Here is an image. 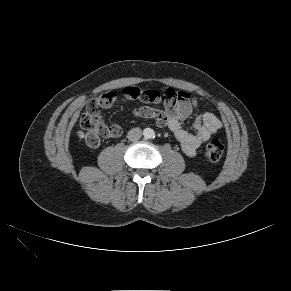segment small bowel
Returning <instances> with one entry per match:
<instances>
[{
  "label": "small bowel",
  "mask_w": 291,
  "mask_h": 291,
  "mask_svg": "<svg viewBox=\"0 0 291 291\" xmlns=\"http://www.w3.org/2000/svg\"><path fill=\"white\" fill-rule=\"evenodd\" d=\"M123 95L127 100H140L146 103H162L164 110L149 106L135 108V116L145 119H153L157 126L167 127L180 143L182 151L189 157L196 154L197 149L205 143L223 126L222 121L213 113L205 112L197 115L193 121L192 129L188 130L183 123L198 107V101L193 94L187 91H175L172 88L160 93L155 90H141L137 87L128 86L123 89ZM150 98H153L150 100ZM116 96L107 92L98 96L95 100L98 104L97 117L101 119L99 110L107 109L113 105ZM122 132L119 125H112ZM120 134L113 137H118ZM99 143L95 146L96 148Z\"/></svg>",
  "instance_id": "c3829d8e"
}]
</instances>
